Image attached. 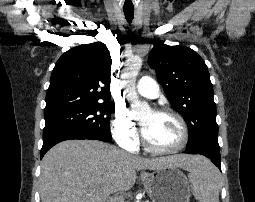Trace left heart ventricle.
I'll return each instance as SVG.
<instances>
[{
    "label": "left heart ventricle",
    "mask_w": 255,
    "mask_h": 202,
    "mask_svg": "<svg viewBox=\"0 0 255 202\" xmlns=\"http://www.w3.org/2000/svg\"><path fill=\"white\" fill-rule=\"evenodd\" d=\"M140 123L147 140L156 148H172L181 141L180 125L171 116L158 115L150 111L140 119Z\"/></svg>",
    "instance_id": "obj_1"
}]
</instances>
